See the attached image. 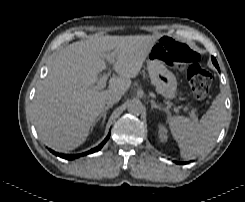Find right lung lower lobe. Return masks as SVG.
Segmentation results:
<instances>
[{"mask_svg":"<svg viewBox=\"0 0 245 202\" xmlns=\"http://www.w3.org/2000/svg\"><path fill=\"white\" fill-rule=\"evenodd\" d=\"M109 137H110V134H108L106 139L98 147H96V148H94V149H92V150H90L88 152L82 153V154H76V155L59 154L57 152H54L53 150H51V152L53 154H55L56 156H59L61 158L68 159V160H73V159H76L78 157H81V156H84V155L99 151L103 147V145L106 143V141L109 139Z\"/></svg>","mask_w":245,"mask_h":202,"instance_id":"right-lung-lower-lobe-1","label":"right lung lower lobe"}]
</instances>
